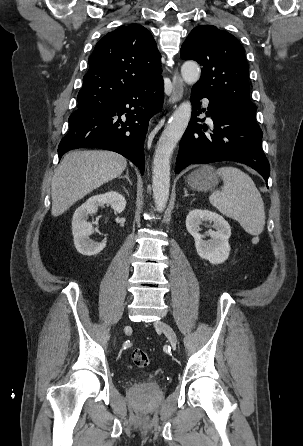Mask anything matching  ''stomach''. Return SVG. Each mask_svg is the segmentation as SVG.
<instances>
[{
  "instance_id": "stomach-1",
  "label": "stomach",
  "mask_w": 303,
  "mask_h": 446,
  "mask_svg": "<svg viewBox=\"0 0 303 446\" xmlns=\"http://www.w3.org/2000/svg\"><path fill=\"white\" fill-rule=\"evenodd\" d=\"M188 185L197 191H207L218 184L219 178L211 166H202L188 177Z\"/></svg>"
}]
</instances>
